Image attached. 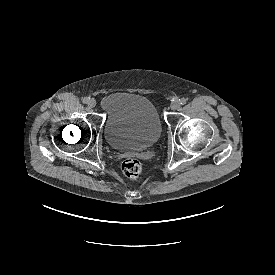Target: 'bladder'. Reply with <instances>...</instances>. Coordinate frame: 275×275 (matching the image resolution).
Here are the masks:
<instances>
[{"label": "bladder", "mask_w": 275, "mask_h": 275, "mask_svg": "<svg viewBox=\"0 0 275 275\" xmlns=\"http://www.w3.org/2000/svg\"><path fill=\"white\" fill-rule=\"evenodd\" d=\"M100 105L105 115L104 135L113 148L144 150L159 139V115L145 97L116 92L103 96Z\"/></svg>", "instance_id": "1"}]
</instances>
